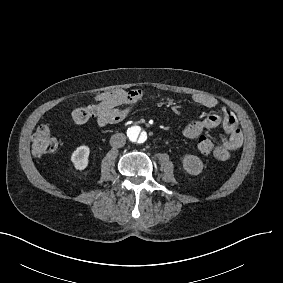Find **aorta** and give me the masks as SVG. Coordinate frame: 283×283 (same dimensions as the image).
Returning <instances> with one entry per match:
<instances>
[{
  "label": "aorta",
  "instance_id": "obj_1",
  "mask_svg": "<svg viewBox=\"0 0 283 283\" xmlns=\"http://www.w3.org/2000/svg\"><path fill=\"white\" fill-rule=\"evenodd\" d=\"M127 136L131 142L138 144L144 143L148 138L147 132L137 125L131 126L127 130Z\"/></svg>",
  "mask_w": 283,
  "mask_h": 283
}]
</instances>
